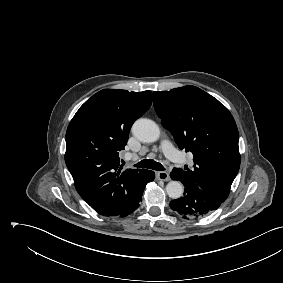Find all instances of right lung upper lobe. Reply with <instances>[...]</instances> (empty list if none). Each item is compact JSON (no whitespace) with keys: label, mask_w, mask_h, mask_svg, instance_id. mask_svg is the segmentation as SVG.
Returning <instances> with one entry per match:
<instances>
[{"label":"right lung upper lobe","mask_w":283,"mask_h":283,"mask_svg":"<svg viewBox=\"0 0 283 283\" xmlns=\"http://www.w3.org/2000/svg\"><path fill=\"white\" fill-rule=\"evenodd\" d=\"M151 103V91L104 89L79 108L67 128L66 165L77 192L101 215H118L142 193L146 170L122 171L118 154Z\"/></svg>","instance_id":"obj_1"}]
</instances>
